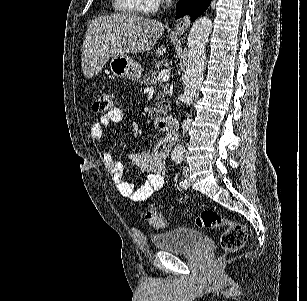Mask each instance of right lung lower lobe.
I'll return each instance as SVG.
<instances>
[{"instance_id":"1","label":"right lung lower lobe","mask_w":307,"mask_h":301,"mask_svg":"<svg viewBox=\"0 0 307 301\" xmlns=\"http://www.w3.org/2000/svg\"><path fill=\"white\" fill-rule=\"evenodd\" d=\"M210 2L211 0H181L176 6V19L189 14L191 16V21H194L205 12Z\"/></svg>"}]
</instances>
